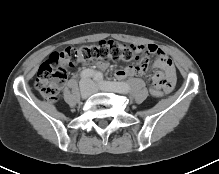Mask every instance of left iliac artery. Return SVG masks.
<instances>
[{"instance_id":"1","label":"left iliac artery","mask_w":219,"mask_h":174,"mask_svg":"<svg viewBox=\"0 0 219 174\" xmlns=\"http://www.w3.org/2000/svg\"><path fill=\"white\" fill-rule=\"evenodd\" d=\"M94 80L99 84L101 87L110 88L119 93H129L130 87L125 82H113V81H106L103 79V74L100 72H96L94 75Z\"/></svg>"}]
</instances>
